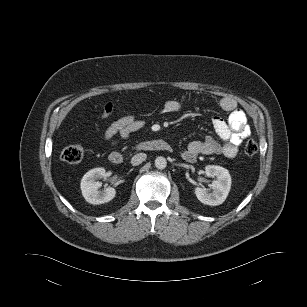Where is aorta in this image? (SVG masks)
Returning <instances> with one entry per match:
<instances>
[{"mask_svg":"<svg viewBox=\"0 0 307 307\" xmlns=\"http://www.w3.org/2000/svg\"><path fill=\"white\" fill-rule=\"evenodd\" d=\"M166 166H167V160L164 157L160 156L155 159V167L157 169L163 170L166 168Z\"/></svg>","mask_w":307,"mask_h":307,"instance_id":"aorta-1","label":"aorta"}]
</instances>
